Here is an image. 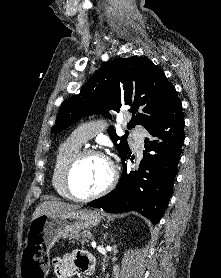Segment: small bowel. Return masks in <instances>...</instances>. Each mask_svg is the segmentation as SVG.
Returning a JSON list of instances; mask_svg holds the SVG:
<instances>
[{
  "mask_svg": "<svg viewBox=\"0 0 221 278\" xmlns=\"http://www.w3.org/2000/svg\"><path fill=\"white\" fill-rule=\"evenodd\" d=\"M92 257L81 251L67 253L54 261L53 272L55 278H70L76 270L88 272L93 269Z\"/></svg>",
  "mask_w": 221,
  "mask_h": 278,
  "instance_id": "1",
  "label": "small bowel"
}]
</instances>
